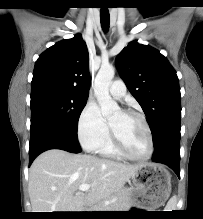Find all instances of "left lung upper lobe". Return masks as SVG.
I'll list each match as a JSON object with an SVG mask.
<instances>
[{
    "label": "left lung upper lobe",
    "mask_w": 203,
    "mask_h": 219,
    "mask_svg": "<svg viewBox=\"0 0 203 219\" xmlns=\"http://www.w3.org/2000/svg\"><path fill=\"white\" fill-rule=\"evenodd\" d=\"M116 64L147 117L156 147L170 132L180 129L181 95L176 72L159 51L137 41L118 54Z\"/></svg>",
    "instance_id": "obj_1"
}]
</instances>
